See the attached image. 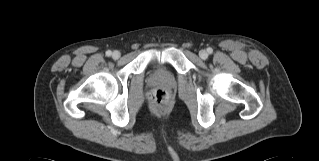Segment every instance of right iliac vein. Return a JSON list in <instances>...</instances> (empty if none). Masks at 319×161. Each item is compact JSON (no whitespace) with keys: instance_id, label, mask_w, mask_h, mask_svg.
Here are the masks:
<instances>
[{"instance_id":"obj_1","label":"right iliac vein","mask_w":319,"mask_h":161,"mask_svg":"<svg viewBox=\"0 0 319 161\" xmlns=\"http://www.w3.org/2000/svg\"><path fill=\"white\" fill-rule=\"evenodd\" d=\"M120 57V52L119 51H114L113 53H112V58L113 59H118Z\"/></svg>"}]
</instances>
